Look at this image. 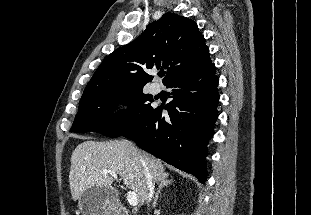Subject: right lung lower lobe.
Segmentation results:
<instances>
[{
  "label": "right lung lower lobe",
  "instance_id": "1",
  "mask_svg": "<svg viewBox=\"0 0 311 215\" xmlns=\"http://www.w3.org/2000/svg\"><path fill=\"white\" fill-rule=\"evenodd\" d=\"M214 63L182 75L166 87L173 100L164 109H152L140 123L121 136L136 142L141 149L181 170L206 180L205 156L217 119L219 95Z\"/></svg>",
  "mask_w": 311,
  "mask_h": 215
}]
</instances>
